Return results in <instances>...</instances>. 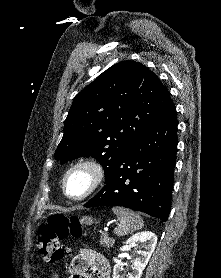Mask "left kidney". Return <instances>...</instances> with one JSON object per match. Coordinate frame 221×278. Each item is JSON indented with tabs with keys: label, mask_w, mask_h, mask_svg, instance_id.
<instances>
[{
	"label": "left kidney",
	"mask_w": 221,
	"mask_h": 278,
	"mask_svg": "<svg viewBox=\"0 0 221 278\" xmlns=\"http://www.w3.org/2000/svg\"><path fill=\"white\" fill-rule=\"evenodd\" d=\"M142 244L144 250H139L138 257L132 265V272L128 273L127 278H141L143 270L149 262V259L154 252L157 244V236L150 231H142L132 235L126 242L125 250H130L132 247ZM123 264L117 262L113 269V278H124L121 276Z\"/></svg>",
	"instance_id": "left-kidney-1"
}]
</instances>
